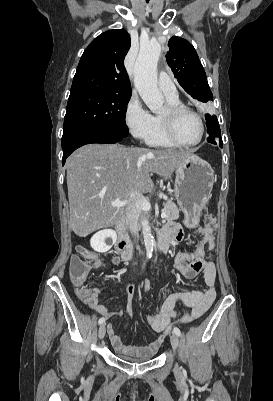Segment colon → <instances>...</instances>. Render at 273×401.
<instances>
[{"instance_id": "1", "label": "colon", "mask_w": 273, "mask_h": 401, "mask_svg": "<svg viewBox=\"0 0 273 401\" xmlns=\"http://www.w3.org/2000/svg\"><path fill=\"white\" fill-rule=\"evenodd\" d=\"M67 268L71 276L70 284L72 286V291L78 293L79 297H91L93 286L90 284V280H87L86 274H91V269L89 268V263L85 261L84 257H73L72 261H68ZM85 282V284H81ZM153 284L146 283L145 288L142 289L143 293L147 290H152Z\"/></svg>"}]
</instances>
